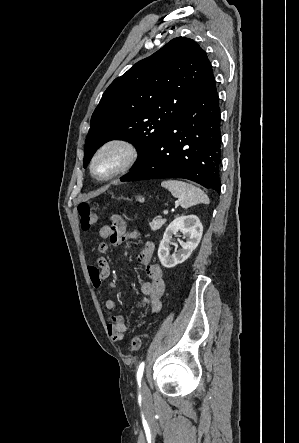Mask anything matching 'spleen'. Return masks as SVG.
<instances>
[{
	"instance_id": "obj_1",
	"label": "spleen",
	"mask_w": 299,
	"mask_h": 443,
	"mask_svg": "<svg viewBox=\"0 0 299 443\" xmlns=\"http://www.w3.org/2000/svg\"><path fill=\"white\" fill-rule=\"evenodd\" d=\"M161 186L168 189L177 198L183 208L204 203L209 204L208 196L198 187L178 180H165Z\"/></svg>"
}]
</instances>
